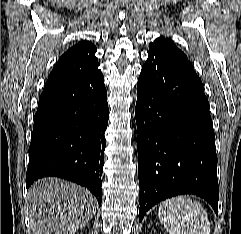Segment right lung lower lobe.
<instances>
[{"label":"right lung lower lobe","mask_w":241,"mask_h":234,"mask_svg":"<svg viewBox=\"0 0 241 234\" xmlns=\"http://www.w3.org/2000/svg\"><path fill=\"white\" fill-rule=\"evenodd\" d=\"M108 118L107 91L98 67L45 86L34 116L26 187L56 176L88 188L101 205Z\"/></svg>","instance_id":"right-lung-lower-lobe-1"}]
</instances>
